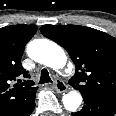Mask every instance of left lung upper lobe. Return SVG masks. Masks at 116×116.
Segmentation results:
<instances>
[{
  "label": "left lung upper lobe",
  "mask_w": 116,
  "mask_h": 116,
  "mask_svg": "<svg viewBox=\"0 0 116 116\" xmlns=\"http://www.w3.org/2000/svg\"><path fill=\"white\" fill-rule=\"evenodd\" d=\"M40 31L68 52L76 66L69 84L82 96L116 98V38L77 25H44Z\"/></svg>",
  "instance_id": "1"
}]
</instances>
